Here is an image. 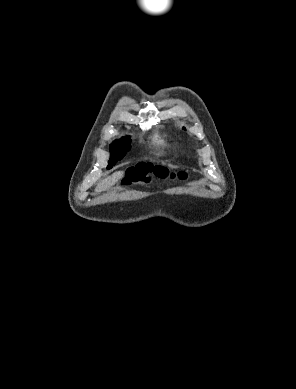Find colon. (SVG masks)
Masks as SVG:
<instances>
[{"label": "colon", "mask_w": 296, "mask_h": 389, "mask_svg": "<svg viewBox=\"0 0 296 389\" xmlns=\"http://www.w3.org/2000/svg\"><path fill=\"white\" fill-rule=\"evenodd\" d=\"M151 176L167 178L174 175L170 174L164 167L153 166L149 163H140L128 170L124 179V184L147 183L150 181ZM178 177L183 179L185 175L184 173H179Z\"/></svg>", "instance_id": "obj_1"}]
</instances>
